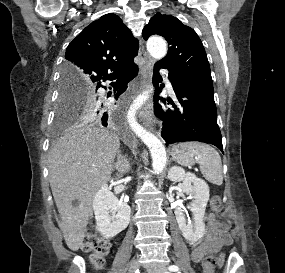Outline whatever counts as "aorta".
<instances>
[{"label": "aorta", "mask_w": 285, "mask_h": 273, "mask_svg": "<svg viewBox=\"0 0 285 273\" xmlns=\"http://www.w3.org/2000/svg\"><path fill=\"white\" fill-rule=\"evenodd\" d=\"M147 50L154 59L160 60L167 53V45L163 38L151 37L147 41ZM152 91L153 87L137 96L130 108L128 114V122L134 133L149 148L152 157V167L154 173L160 174L163 172L167 161L165 147L154 134L144 129L137 123L135 119L136 111L148 100L149 95L152 93Z\"/></svg>", "instance_id": "obj_1"}]
</instances>
